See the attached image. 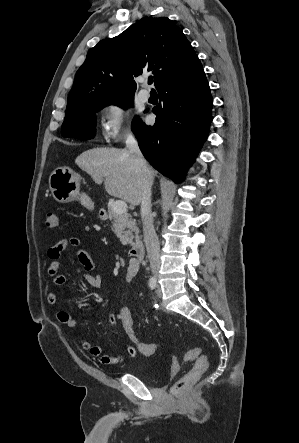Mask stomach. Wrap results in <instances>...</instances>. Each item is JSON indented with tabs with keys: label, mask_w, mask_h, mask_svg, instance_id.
Masks as SVG:
<instances>
[{
	"label": "stomach",
	"mask_w": 299,
	"mask_h": 443,
	"mask_svg": "<svg viewBox=\"0 0 299 443\" xmlns=\"http://www.w3.org/2000/svg\"><path fill=\"white\" fill-rule=\"evenodd\" d=\"M80 175L68 167L56 168L49 177V187L53 198L59 203L80 201L82 205L91 208V199L80 193Z\"/></svg>",
	"instance_id": "0dacf381"
}]
</instances>
